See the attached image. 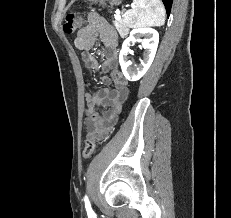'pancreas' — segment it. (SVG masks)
I'll list each match as a JSON object with an SVG mask.
<instances>
[{"mask_svg": "<svg viewBox=\"0 0 231 218\" xmlns=\"http://www.w3.org/2000/svg\"><path fill=\"white\" fill-rule=\"evenodd\" d=\"M113 23L121 37H124L128 34L129 29L127 25L125 24L124 20L122 19L115 20Z\"/></svg>", "mask_w": 231, "mask_h": 218, "instance_id": "1", "label": "pancreas"}]
</instances>
